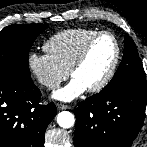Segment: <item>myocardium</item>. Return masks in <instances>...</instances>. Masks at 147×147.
Instances as JSON below:
<instances>
[{
	"label": "myocardium",
	"instance_id": "myocardium-1",
	"mask_svg": "<svg viewBox=\"0 0 147 147\" xmlns=\"http://www.w3.org/2000/svg\"><path fill=\"white\" fill-rule=\"evenodd\" d=\"M105 35L110 36L114 41L115 57L113 59V62L111 64L107 74L104 76V78L99 83L94 85L93 87H90L87 89L91 93H97V92L102 91L112 81L113 77L115 76V73L117 71V68H118L120 60H121V45H120V42H119L118 38L116 37V35L110 31H98L97 33H95L92 37H90L86 41V43L84 44V46L80 50L78 56L76 57V59L74 60V62L72 63V65L69 69L70 76H73L75 71L78 68H80L82 66V64L85 62V60L90 52V49L93 46V44L96 42V40H98L100 37L105 36Z\"/></svg>",
	"mask_w": 147,
	"mask_h": 147
}]
</instances>
